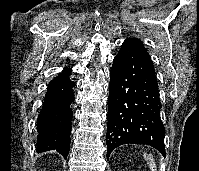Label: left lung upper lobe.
I'll use <instances>...</instances> for the list:
<instances>
[{"label":"left lung upper lobe","mask_w":199,"mask_h":171,"mask_svg":"<svg viewBox=\"0 0 199 171\" xmlns=\"http://www.w3.org/2000/svg\"><path fill=\"white\" fill-rule=\"evenodd\" d=\"M128 39L132 40V41H134V42H136V43H138V44H140V45H142L144 47V44L139 39H137V38H128Z\"/></svg>","instance_id":"5c2ea615"}]
</instances>
